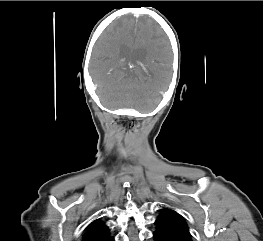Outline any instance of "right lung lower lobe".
I'll return each mask as SVG.
<instances>
[{"mask_svg": "<svg viewBox=\"0 0 263 241\" xmlns=\"http://www.w3.org/2000/svg\"><path fill=\"white\" fill-rule=\"evenodd\" d=\"M110 241H114V239H113V238H111V239H110Z\"/></svg>", "mask_w": 263, "mask_h": 241, "instance_id": "98d812e1", "label": "right lung lower lobe"}]
</instances>
